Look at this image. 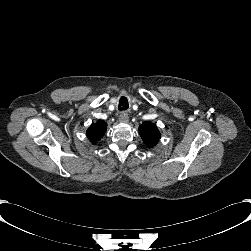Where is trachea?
<instances>
[{
	"label": "trachea",
	"instance_id": "3493384b",
	"mask_svg": "<svg viewBox=\"0 0 251 251\" xmlns=\"http://www.w3.org/2000/svg\"><path fill=\"white\" fill-rule=\"evenodd\" d=\"M127 108H128V101H127V99L125 97H122L120 99L118 109L119 110H124V109H127ZM121 112H124V111H121Z\"/></svg>",
	"mask_w": 251,
	"mask_h": 251
}]
</instances>
